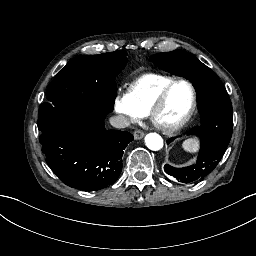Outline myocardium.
I'll return each instance as SVG.
<instances>
[{
  "label": "myocardium",
  "instance_id": "myocardium-1",
  "mask_svg": "<svg viewBox=\"0 0 256 256\" xmlns=\"http://www.w3.org/2000/svg\"><path fill=\"white\" fill-rule=\"evenodd\" d=\"M186 83L190 90H191V94H192V103H191V107L188 110V112L185 114V116L177 123L174 124V126L166 131L164 129H162L163 133L166 135H170L172 133H174L175 131L179 130L181 127H183L192 117V115L194 114L196 107H197V96H196V90L195 87L193 86L192 82L185 78V77H179L177 79H174L168 86H166L163 91L161 93L158 94L157 98L144 106V111L152 116V111L159 109L161 106L164 105V103L166 102L171 90L173 89V87L178 84V83Z\"/></svg>",
  "mask_w": 256,
  "mask_h": 256
}]
</instances>
